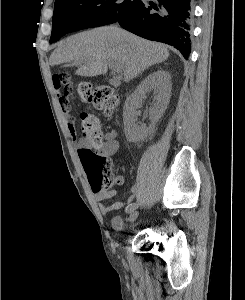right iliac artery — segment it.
<instances>
[{
	"label": "right iliac artery",
	"instance_id": "82829eb1",
	"mask_svg": "<svg viewBox=\"0 0 245 300\" xmlns=\"http://www.w3.org/2000/svg\"><path fill=\"white\" fill-rule=\"evenodd\" d=\"M137 204L136 203H131L128 207H127V212L130 213L132 210H134L136 208Z\"/></svg>",
	"mask_w": 245,
	"mask_h": 300
}]
</instances>
